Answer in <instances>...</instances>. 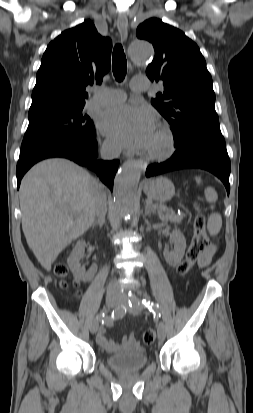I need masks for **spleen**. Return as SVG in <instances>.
<instances>
[{"instance_id": "spleen-1", "label": "spleen", "mask_w": 253, "mask_h": 413, "mask_svg": "<svg viewBox=\"0 0 253 413\" xmlns=\"http://www.w3.org/2000/svg\"><path fill=\"white\" fill-rule=\"evenodd\" d=\"M196 182L198 184L201 183V178L200 177H196L195 178ZM205 198L207 200V202L209 203H215L218 199V195L217 192L215 191L214 188L212 187H208L205 189ZM214 207L212 206V209ZM222 227V217L220 214L218 213H212L209 218H208V222H207V229L208 232L211 236H215L220 232V229Z\"/></svg>"}]
</instances>
